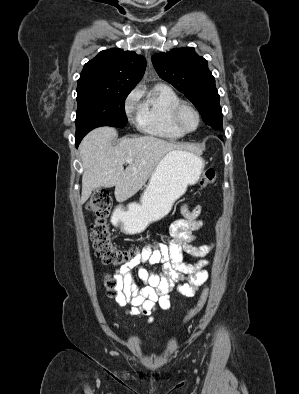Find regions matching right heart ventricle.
<instances>
[{"mask_svg": "<svg viewBox=\"0 0 299 394\" xmlns=\"http://www.w3.org/2000/svg\"><path fill=\"white\" fill-rule=\"evenodd\" d=\"M181 101L178 94L166 84H156L139 105L137 122L140 129L152 136L179 139L184 134L172 122L173 108Z\"/></svg>", "mask_w": 299, "mask_h": 394, "instance_id": "obj_1", "label": "right heart ventricle"}]
</instances>
